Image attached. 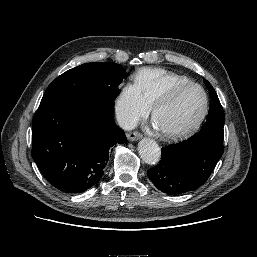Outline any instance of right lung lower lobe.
Wrapping results in <instances>:
<instances>
[{"label":"right lung lower lobe","instance_id":"1","mask_svg":"<svg viewBox=\"0 0 257 257\" xmlns=\"http://www.w3.org/2000/svg\"><path fill=\"white\" fill-rule=\"evenodd\" d=\"M112 103L88 97L40 104L33 119L32 157L47 181L66 193L95 185L114 145L126 136Z\"/></svg>","mask_w":257,"mask_h":257}]
</instances>
